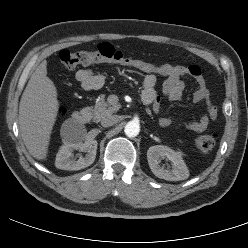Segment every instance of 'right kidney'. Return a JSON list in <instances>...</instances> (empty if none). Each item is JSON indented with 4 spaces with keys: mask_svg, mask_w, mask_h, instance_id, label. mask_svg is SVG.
<instances>
[{
    "mask_svg": "<svg viewBox=\"0 0 248 248\" xmlns=\"http://www.w3.org/2000/svg\"><path fill=\"white\" fill-rule=\"evenodd\" d=\"M63 145L56 155L55 166L62 170H81L90 166L96 157L97 141L87 139L84 142H72L67 138H63ZM74 150L86 152L84 157L78 160L74 159Z\"/></svg>",
    "mask_w": 248,
    "mask_h": 248,
    "instance_id": "obj_1",
    "label": "right kidney"
}]
</instances>
